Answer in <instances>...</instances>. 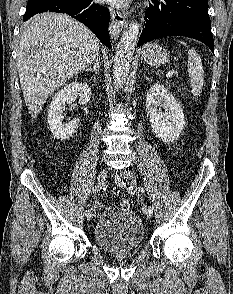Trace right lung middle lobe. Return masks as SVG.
Instances as JSON below:
<instances>
[{
    "mask_svg": "<svg viewBox=\"0 0 233 294\" xmlns=\"http://www.w3.org/2000/svg\"><path fill=\"white\" fill-rule=\"evenodd\" d=\"M31 1H33V0H28V3L31 2Z\"/></svg>",
    "mask_w": 233,
    "mask_h": 294,
    "instance_id": "right-lung-middle-lobe-1",
    "label": "right lung middle lobe"
}]
</instances>
